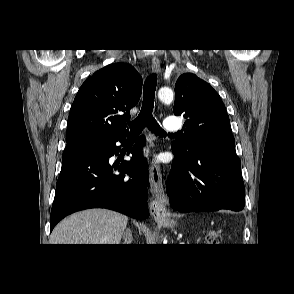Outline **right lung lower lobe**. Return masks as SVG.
I'll use <instances>...</instances> for the list:
<instances>
[{
	"label": "right lung lower lobe",
	"mask_w": 294,
	"mask_h": 294,
	"mask_svg": "<svg viewBox=\"0 0 294 294\" xmlns=\"http://www.w3.org/2000/svg\"><path fill=\"white\" fill-rule=\"evenodd\" d=\"M127 134L114 136L94 144L65 150L56 184L50 215V231L65 216L88 208H107L136 219L149 216L147 185L148 164L142 157L144 137L133 148L130 161L109 164L117 155ZM119 169V174L114 171Z\"/></svg>",
	"instance_id": "obj_1"
}]
</instances>
